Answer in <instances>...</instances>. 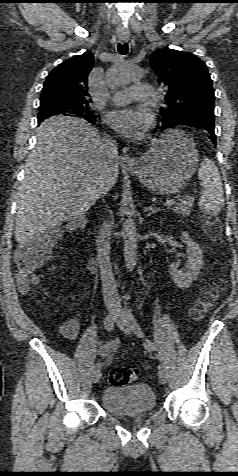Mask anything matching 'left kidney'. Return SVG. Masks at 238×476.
Segmentation results:
<instances>
[{
  "instance_id": "left-kidney-1",
  "label": "left kidney",
  "mask_w": 238,
  "mask_h": 476,
  "mask_svg": "<svg viewBox=\"0 0 238 476\" xmlns=\"http://www.w3.org/2000/svg\"><path fill=\"white\" fill-rule=\"evenodd\" d=\"M181 238L187 245V271L184 273L183 271L178 270L177 266L172 263L169 266V272L174 283L178 287L184 289L188 288L199 275L204 261L202 250L200 249L199 245L191 239L190 235L186 232H182Z\"/></svg>"
}]
</instances>
